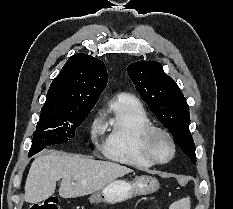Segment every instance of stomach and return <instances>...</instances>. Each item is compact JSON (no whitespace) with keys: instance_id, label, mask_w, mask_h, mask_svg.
I'll return each mask as SVG.
<instances>
[{"instance_id":"obj_1","label":"stomach","mask_w":233,"mask_h":209,"mask_svg":"<svg viewBox=\"0 0 233 209\" xmlns=\"http://www.w3.org/2000/svg\"><path fill=\"white\" fill-rule=\"evenodd\" d=\"M160 187L158 180L149 175L136 176L133 180L116 179L93 193L89 201L94 204H116L136 196L147 195Z\"/></svg>"}]
</instances>
